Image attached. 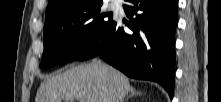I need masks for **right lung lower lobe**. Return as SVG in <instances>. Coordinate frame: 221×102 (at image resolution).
I'll return each mask as SVG.
<instances>
[{
    "label": "right lung lower lobe",
    "instance_id": "obj_1",
    "mask_svg": "<svg viewBox=\"0 0 221 102\" xmlns=\"http://www.w3.org/2000/svg\"><path fill=\"white\" fill-rule=\"evenodd\" d=\"M132 25L127 33L114 20L101 37L75 60L96 56L127 76L161 84L173 97L177 0H127Z\"/></svg>",
    "mask_w": 221,
    "mask_h": 102
}]
</instances>
